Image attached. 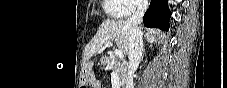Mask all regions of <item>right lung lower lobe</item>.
Instances as JSON below:
<instances>
[{"mask_svg":"<svg viewBox=\"0 0 227 88\" xmlns=\"http://www.w3.org/2000/svg\"><path fill=\"white\" fill-rule=\"evenodd\" d=\"M170 16L167 0H151L143 22L146 27L168 30Z\"/></svg>","mask_w":227,"mask_h":88,"instance_id":"obj_1","label":"right lung lower lobe"}]
</instances>
